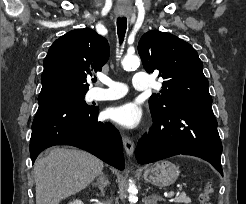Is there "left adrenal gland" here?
<instances>
[{"label":"left adrenal gland","mask_w":246,"mask_h":204,"mask_svg":"<svg viewBox=\"0 0 246 204\" xmlns=\"http://www.w3.org/2000/svg\"><path fill=\"white\" fill-rule=\"evenodd\" d=\"M158 200H163V198L160 197V196H158V195H153V202L158 201ZM144 203H145V204H150V203L146 200V198H145Z\"/></svg>","instance_id":"a2214340"}]
</instances>
